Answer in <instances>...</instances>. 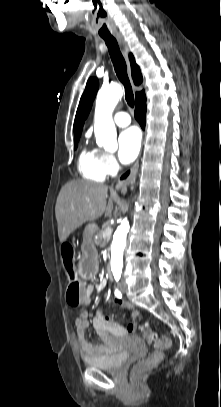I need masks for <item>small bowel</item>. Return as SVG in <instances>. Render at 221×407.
<instances>
[{"label": "small bowel", "mask_w": 221, "mask_h": 407, "mask_svg": "<svg viewBox=\"0 0 221 407\" xmlns=\"http://www.w3.org/2000/svg\"><path fill=\"white\" fill-rule=\"evenodd\" d=\"M95 291V287L89 284L84 289L83 306L90 303L91 296ZM115 302L124 308H130L131 304L122 300L121 297H116ZM138 311H132V317L137 320ZM137 323H133L127 327L114 321L112 318L104 316L100 309L92 320V326L95 332L100 336L102 343L100 345L90 344L85 336L86 329L89 326V314L83 309L75 319L76 341L81 357L84 360L103 357L111 353L115 346L116 340L124 337L128 333L134 332L137 328Z\"/></svg>", "instance_id": "1"}]
</instances>
